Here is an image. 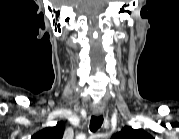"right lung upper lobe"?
Here are the masks:
<instances>
[{"instance_id": "1", "label": "right lung upper lobe", "mask_w": 179, "mask_h": 139, "mask_svg": "<svg viewBox=\"0 0 179 139\" xmlns=\"http://www.w3.org/2000/svg\"><path fill=\"white\" fill-rule=\"evenodd\" d=\"M64 133V124L57 123L54 127L45 128L36 133L32 139H61Z\"/></svg>"}]
</instances>
